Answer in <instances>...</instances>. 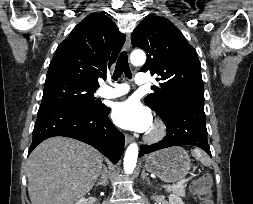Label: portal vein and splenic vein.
<instances>
[{
    "mask_svg": "<svg viewBox=\"0 0 253 204\" xmlns=\"http://www.w3.org/2000/svg\"><path fill=\"white\" fill-rule=\"evenodd\" d=\"M184 183H185V180H181V181H179V182H177L176 184H173V185H171V186L162 185V187L167 188V189H171V188H176V187H178V186H181V185H183Z\"/></svg>",
    "mask_w": 253,
    "mask_h": 204,
    "instance_id": "1",
    "label": "portal vein and splenic vein"
}]
</instances>
